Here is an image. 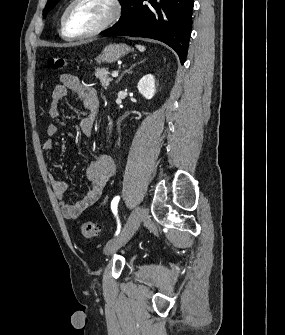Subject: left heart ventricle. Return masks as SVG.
<instances>
[{
    "label": "left heart ventricle",
    "instance_id": "left-heart-ventricle-1",
    "mask_svg": "<svg viewBox=\"0 0 285 335\" xmlns=\"http://www.w3.org/2000/svg\"><path fill=\"white\" fill-rule=\"evenodd\" d=\"M109 14V7L102 2H81L74 8L72 22L80 30H90L102 24Z\"/></svg>",
    "mask_w": 285,
    "mask_h": 335
}]
</instances>
